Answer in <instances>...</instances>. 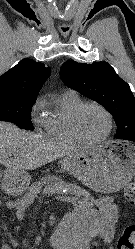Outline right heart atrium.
Returning <instances> with one entry per match:
<instances>
[{
	"instance_id": "d8ad5b80",
	"label": "right heart atrium",
	"mask_w": 135,
	"mask_h": 249,
	"mask_svg": "<svg viewBox=\"0 0 135 249\" xmlns=\"http://www.w3.org/2000/svg\"><path fill=\"white\" fill-rule=\"evenodd\" d=\"M43 107V100L39 99L32 108V114L35 115Z\"/></svg>"
}]
</instances>
